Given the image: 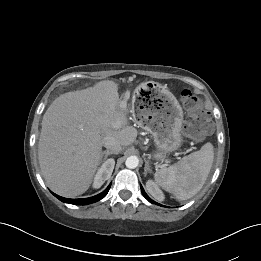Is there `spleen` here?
I'll list each match as a JSON object with an SVG mask.
<instances>
[{
  "mask_svg": "<svg viewBox=\"0 0 261 261\" xmlns=\"http://www.w3.org/2000/svg\"><path fill=\"white\" fill-rule=\"evenodd\" d=\"M213 160V145L206 143L199 151L183 157L174 165L156 171L154 178L159 186L174 194L178 200H187L202 189Z\"/></svg>",
  "mask_w": 261,
  "mask_h": 261,
  "instance_id": "spleen-1",
  "label": "spleen"
}]
</instances>
